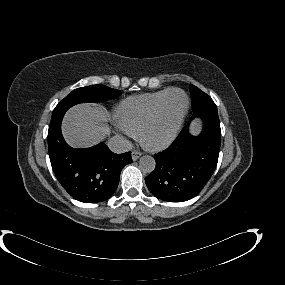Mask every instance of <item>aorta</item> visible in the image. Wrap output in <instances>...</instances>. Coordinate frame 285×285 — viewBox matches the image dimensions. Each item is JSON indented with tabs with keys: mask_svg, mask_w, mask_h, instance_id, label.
I'll list each match as a JSON object with an SVG mask.
<instances>
[{
	"mask_svg": "<svg viewBox=\"0 0 285 285\" xmlns=\"http://www.w3.org/2000/svg\"><path fill=\"white\" fill-rule=\"evenodd\" d=\"M139 166L144 173H151L155 169L156 162L152 156L144 155L139 160Z\"/></svg>",
	"mask_w": 285,
	"mask_h": 285,
	"instance_id": "1",
	"label": "aorta"
}]
</instances>
